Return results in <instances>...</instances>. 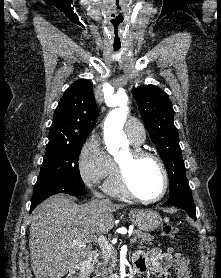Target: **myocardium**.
Instances as JSON below:
<instances>
[{
	"label": "myocardium",
	"instance_id": "myocardium-1",
	"mask_svg": "<svg viewBox=\"0 0 221 278\" xmlns=\"http://www.w3.org/2000/svg\"><path fill=\"white\" fill-rule=\"evenodd\" d=\"M129 155L131 160L151 158L154 161H156L162 172L163 187L159 195L155 197H144L139 195L135 192L134 188L130 183L127 167L116 161V179L120 190L123 192L124 195L128 196L129 198L140 202L155 203L162 200L169 188V174L163 160L154 152L138 147L131 148L129 150Z\"/></svg>",
	"mask_w": 221,
	"mask_h": 278
}]
</instances>
